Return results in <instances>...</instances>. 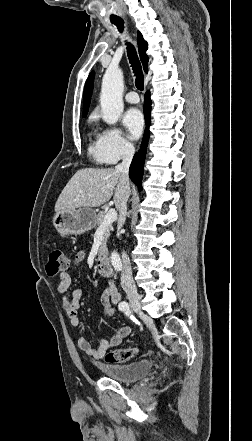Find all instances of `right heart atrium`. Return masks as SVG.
<instances>
[{"label":"right heart atrium","instance_id":"right-heart-atrium-1","mask_svg":"<svg viewBox=\"0 0 252 441\" xmlns=\"http://www.w3.org/2000/svg\"><path fill=\"white\" fill-rule=\"evenodd\" d=\"M99 152L102 162L115 164L135 153L134 145L114 126L105 128L99 136Z\"/></svg>","mask_w":252,"mask_h":441}]
</instances>
